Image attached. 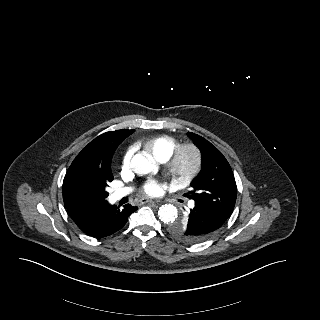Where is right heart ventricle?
<instances>
[{
	"instance_id": "obj_1",
	"label": "right heart ventricle",
	"mask_w": 320,
	"mask_h": 320,
	"mask_svg": "<svg viewBox=\"0 0 320 320\" xmlns=\"http://www.w3.org/2000/svg\"><path fill=\"white\" fill-rule=\"evenodd\" d=\"M144 149L159 161L167 160L177 146V141L169 135H156L142 143Z\"/></svg>"
}]
</instances>
